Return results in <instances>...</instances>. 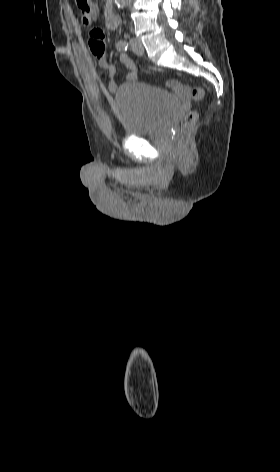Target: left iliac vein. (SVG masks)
Here are the masks:
<instances>
[{
    "label": "left iliac vein",
    "instance_id": "left-iliac-vein-1",
    "mask_svg": "<svg viewBox=\"0 0 280 472\" xmlns=\"http://www.w3.org/2000/svg\"><path fill=\"white\" fill-rule=\"evenodd\" d=\"M129 45L131 49L133 50V52L136 53L137 55L142 56L144 54V47L139 39L131 38L129 40Z\"/></svg>",
    "mask_w": 280,
    "mask_h": 472
}]
</instances>
